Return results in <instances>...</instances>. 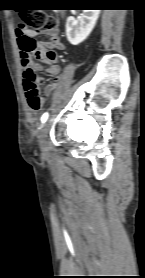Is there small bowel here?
<instances>
[{
	"label": "small bowel",
	"instance_id": "c3829d8e",
	"mask_svg": "<svg viewBox=\"0 0 145 278\" xmlns=\"http://www.w3.org/2000/svg\"><path fill=\"white\" fill-rule=\"evenodd\" d=\"M24 35L28 36V37H32V38H36L39 35H44L47 36L51 39L50 42H44L41 43L40 46L43 48H49V49H53V50H63L65 48V43L62 40V38L59 35V31L53 30L51 32H35L32 30H26L24 32ZM17 39L19 40V35H17ZM41 63L40 62H36V63H32L31 59H28L26 56L22 55V66L24 68V70L30 66L32 68V70L35 72H39V71H46L49 75H51L52 77H54V79L48 84L46 85L44 92L55 89L59 83V74L61 72V67L55 62H50L48 61L44 56L40 57ZM42 64H46L47 68L44 69ZM40 81L43 80V78L40 76Z\"/></svg>",
	"mask_w": 145,
	"mask_h": 278
}]
</instances>
